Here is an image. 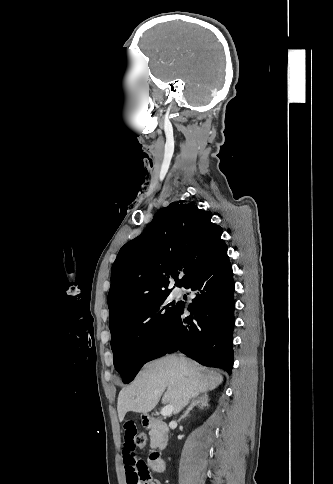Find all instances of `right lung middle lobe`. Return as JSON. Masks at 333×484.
I'll use <instances>...</instances> for the list:
<instances>
[{"instance_id": "1", "label": "right lung middle lobe", "mask_w": 333, "mask_h": 484, "mask_svg": "<svg viewBox=\"0 0 333 484\" xmlns=\"http://www.w3.org/2000/svg\"><path fill=\"white\" fill-rule=\"evenodd\" d=\"M179 304L169 293L139 306L110 327L114 366L123 382H131L172 325Z\"/></svg>"}]
</instances>
